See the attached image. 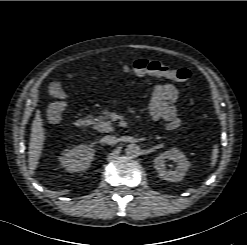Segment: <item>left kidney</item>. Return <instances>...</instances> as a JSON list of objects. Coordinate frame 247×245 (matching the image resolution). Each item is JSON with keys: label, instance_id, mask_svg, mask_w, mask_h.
Wrapping results in <instances>:
<instances>
[{"label": "left kidney", "instance_id": "1", "mask_svg": "<svg viewBox=\"0 0 247 245\" xmlns=\"http://www.w3.org/2000/svg\"><path fill=\"white\" fill-rule=\"evenodd\" d=\"M167 159L176 162L174 170L167 169L165 165ZM154 167L161 178L169 182H176L184 178L190 167V162L183 152L177 148H172L163 152L154 159Z\"/></svg>", "mask_w": 247, "mask_h": 245}]
</instances>
